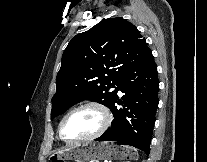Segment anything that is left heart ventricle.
I'll use <instances>...</instances> for the list:
<instances>
[{"mask_svg":"<svg viewBox=\"0 0 207 162\" xmlns=\"http://www.w3.org/2000/svg\"><path fill=\"white\" fill-rule=\"evenodd\" d=\"M102 118L98 110L84 108L71 115L64 126V137L68 140L86 137L96 132Z\"/></svg>","mask_w":207,"mask_h":162,"instance_id":"1","label":"left heart ventricle"}]
</instances>
